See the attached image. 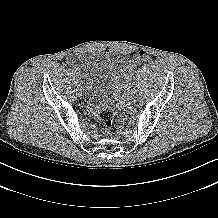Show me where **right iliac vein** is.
I'll return each instance as SVG.
<instances>
[{"instance_id": "1", "label": "right iliac vein", "mask_w": 218, "mask_h": 218, "mask_svg": "<svg viewBox=\"0 0 218 218\" xmlns=\"http://www.w3.org/2000/svg\"><path fill=\"white\" fill-rule=\"evenodd\" d=\"M78 79H79V87L82 86L81 82H80V77L78 76Z\"/></svg>"}]
</instances>
